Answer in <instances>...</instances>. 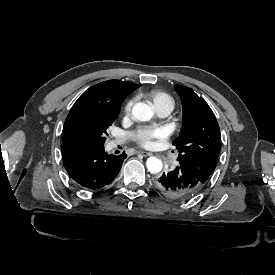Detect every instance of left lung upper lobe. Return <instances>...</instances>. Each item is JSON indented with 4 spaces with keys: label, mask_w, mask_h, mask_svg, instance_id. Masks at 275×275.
I'll use <instances>...</instances> for the list:
<instances>
[{
    "label": "left lung upper lobe",
    "mask_w": 275,
    "mask_h": 275,
    "mask_svg": "<svg viewBox=\"0 0 275 275\" xmlns=\"http://www.w3.org/2000/svg\"><path fill=\"white\" fill-rule=\"evenodd\" d=\"M183 105V127L173 144L179 166L203 184L214 171L221 149L215 115L206 101L191 88L175 85Z\"/></svg>",
    "instance_id": "obj_1"
}]
</instances>
